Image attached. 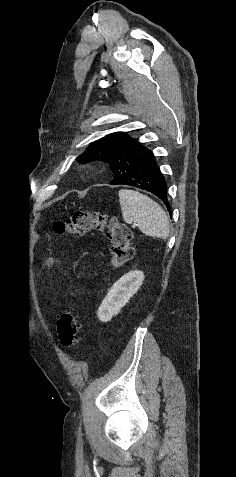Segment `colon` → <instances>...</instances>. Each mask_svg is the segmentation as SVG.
I'll use <instances>...</instances> for the list:
<instances>
[{"instance_id": "5ec220e1", "label": "colon", "mask_w": 236, "mask_h": 477, "mask_svg": "<svg viewBox=\"0 0 236 477\" xmlns=\"http://www.w3.org/2000/svg\"><path fill=\"white\" fill-rule=\"evenodd\" d=\"M53 232L59 235L84 236L92 231H106L111 242L113 266H121L134 255L131 245L132 232L116 219H108L105 213L74 211L65 220H57L53 224ZM57 336L64 347H74L79 339V319L73 309L62 313L57 322Z\"/></svg>"}]
</instances>
